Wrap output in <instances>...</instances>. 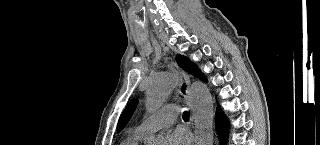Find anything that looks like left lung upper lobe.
<instances>
[{
  "mask_svg": "<svg viewBox=\"0 0 320 145\" xmlns=\"http://www.w3.org/2000/svg\"><path fill=\"white\" fill-rule=\"evenodd\" d=\"M176 61L178 65L183 68L188 73L192 74L193 76L197 77L200 73V70L197 68L195 64H193L191 61H189L186 57L182 55H177ZM138 104V101H133L130 103L125 110L123 111L117 125L118 132L128 123L130 120L133 112L135 111V108Z\"/></svg>",
  "mask_w": 320,
  "mask_h": 145,
  "instance_id": "obj_1",
  "label": "left lung upper lobe"
}]
</instances>
